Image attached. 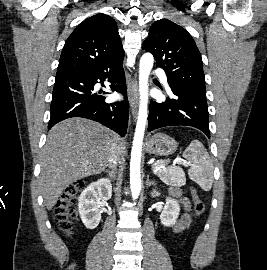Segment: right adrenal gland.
I'll list each match as a JSON object with an SVG mask.
<instances>
[{
  "label": "right adrenal gland",
  "mask_w": 267,
  "mask_h": 270,
  "mask_svg": "<svg viewBox=\"0 0 267 270\" xmlns=\"http://www.w3.org/2000/svg\"><path fill=\"white\" fill-rule=\"evenodd\" d=\"M105 172H106V173H109V174H112V173H113V172H112V173H110V171H109V170H106Z\"/></svg>",
  "instance_id": "2a0ac1e0"
}]
</instances>
